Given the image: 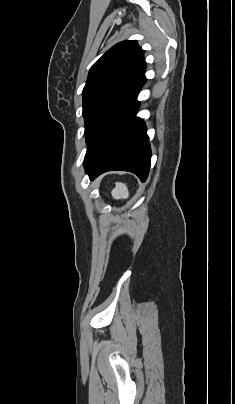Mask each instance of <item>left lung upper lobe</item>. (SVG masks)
<instances>
[{
  "label": "left lung upper lobe",
  "mask_w": 235,
  "mask_h": 404,
  "mask_svg": "<svg viewBox=\"0 0 235 404\" xmlns=\"http://www.w3.org/2000/svg\"><path fill=\"white\" fill-rule=\"evenodd\" d=\"M144 51L134 40L120 42L91 67L83 89L89 145L101 126L146 82Z\"/></svg>",
  "instance_id": "obj_1"
}]
</instances>
